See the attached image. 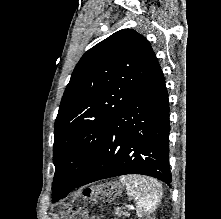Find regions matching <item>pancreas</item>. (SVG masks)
I'll return each instance as SVG.
<instances>
[{
  "instance_id": "obj_1",
  "label": "pancreas",
  "mask_w": 221,
  "mask_h": 219,
  "mask_svg": "<svg viewBox=\"0 0 221 219\" xmlns=\"http://www.w3.org/2000/svg\"><path fill=\"white\" fill-rule=\"evenodd\" d=\"M115 214L118 215L119 217H129L130 216L129 212L123 211L120 209H116Z\"/></svg>"
}]
</instances>
